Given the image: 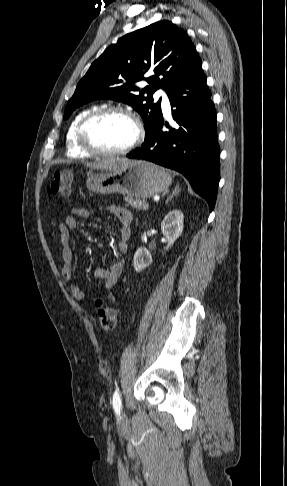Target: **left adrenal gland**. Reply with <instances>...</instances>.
Listing matches in <instances>:
<instances>
[{
	"label": "left adrenal gland",
	"instance_id": "obj_1",
	"mask_svg": "<svg viewBox=\"0 0 287 486\" xmlns=\"http://www.w3.org/2000/svg\"><path fill=\"white\" fill-rule=\"evenodd\" d=\"M179 188L176 187L175 190L173 191L172 195H170L167 200H166V204L179 192Z\"/></svg>",
	"mask_w": 287,
	"mask_h": 486
}]
</instances>
